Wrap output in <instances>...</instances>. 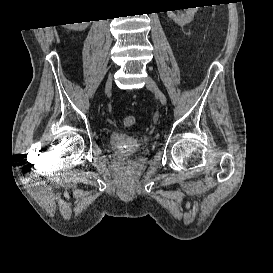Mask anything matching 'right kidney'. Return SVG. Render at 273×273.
Instances as JSON below:
<instances>
[{"mask_svg":"<svg viewBox=\"0 0 273 273\" xmlns=\"http://www.w3.org/2000/svg\"><path fill=\"white\" fill-rule=\"evenodd\" d=\"M75 25H78V23H75ZM87 26H88V22H82V23H79V26H74L73 29L84 30Z\"/></svg>","mask_w":273,"mask_h":273,"instance_id":"right-kidney-1","label":"right kidney"}]
</instances>
